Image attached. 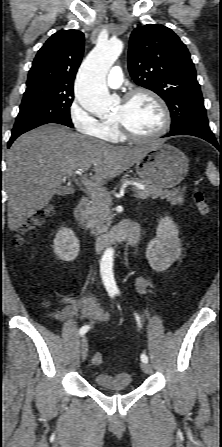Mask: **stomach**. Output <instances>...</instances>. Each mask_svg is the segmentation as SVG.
<instances>
[{
    "mask_svg": "<svg viewBox=\"0 0 222 447\" xmlns=\"http://www.w3.org/2000/svg\"><path fill=\"white\" fill-rule=\"evenodd\" d=\"M188 162L178 148L159 142L148 145L144 155L135 163V170L143 182L171 188L186 176Z\"/></svg>",
    "mask_w": 222,
    "mask_h": 447,
    "instance_id": "1",
    "label": "stomach"
}]
</instances>
